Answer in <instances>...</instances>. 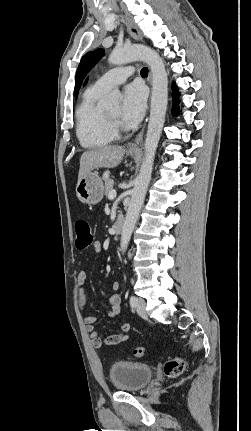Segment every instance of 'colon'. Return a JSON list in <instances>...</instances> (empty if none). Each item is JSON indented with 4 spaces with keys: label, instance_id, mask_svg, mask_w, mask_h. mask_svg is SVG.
Here are the masks:
<instances>
[{
    "label": "colon",
    "instance_id": "1",
    "mask_svg": "<svg viewBox=\"0 0 251 431\" xmlns=\"http://www.w3.org/2000/svg\"><path fill=\"white\" fill-rule=\"evenodd\" d=\"M75 233H76V247L79 250H86L94 243V235L92 228L88 221L86 220H78L75 223ZM145 354L144 347H137L133 350V356L136 358L143 357ZM184 361L175 357L167 360L164 363L163 371L167 377L176 378L180 376L184 371Z\"/></svg>",
    "mask_w": 251,
    "mask_h": 431
}]
</instances>
